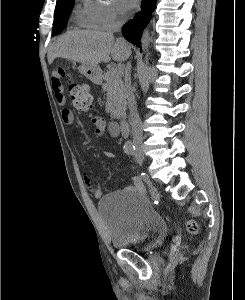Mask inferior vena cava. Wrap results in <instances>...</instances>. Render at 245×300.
I'll use <instances>...</instances> for the list:
<instances>
[{
    "mask_svg": "<svg viewBox=\"0 0 245 300\" xmlns=\"http://www.w3.org/2000/svg\"><path fill=\"white\" fill-rule=\"evenodd\" d=\"M123 24V20H119L116 22L114 26V31H120L121 26ZM131 67L128 63L125 67V92L128 100V107L130 111L131 117V126H132V134H133V143L136 147V151H140L143 143V132L141 127V121L139 118V114L137 112V104L134 96V91L131 86Z\"/></svg>",
    "mask_w": 245,
    "mask_h": 300,
    "instance_id": "602c4592",
    "label": "inferior vena cava"
}]
</instances>
